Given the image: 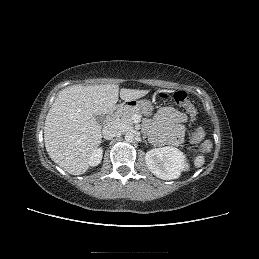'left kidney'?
I'll return each mask as SVG.
<instances>
[{
  "label": "left kidney",
  "mask_w": 259,
  "mask_h": 259,
  "mask_svg": "<svg viewBox=\"0 0 259 259\" xmlns=\"http://www.w3.org/2000/svg\"><path fill=\"white\" fill-rule=\"evenodd\" d=\"M148 169L158 178L172 180L188 167L184 153L175 147H161L149 150L145 155Z\"/></svg>",
  "instance_id": "obj_1"
}]
</instances>
